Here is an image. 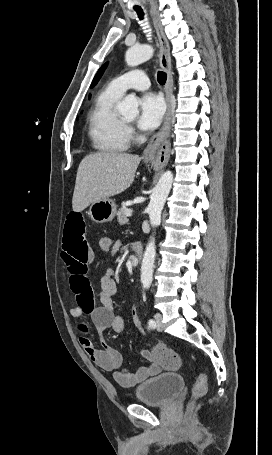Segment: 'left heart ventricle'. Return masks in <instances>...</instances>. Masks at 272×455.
<instances>
[{"instance_id":"1","label":"left heart ventricle","mask_w":272,"mask_h":455,"mask_svg":"<svg viewBox=\"0 0 272 455\" xmlns=\"http://www.w3.org/2000/svg\"><path fill=\"white\" fill-rule=\"evenodd\" d=\"M125 121H127V122H132V121H133V118L127 117V118H125Z\"/></svg>"}]
</instances>
